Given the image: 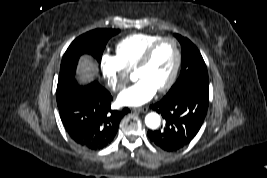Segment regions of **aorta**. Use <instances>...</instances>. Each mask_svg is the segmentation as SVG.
<instances>
[{
    "mask_svg": "<svg viewBox=\"0 0 267 178\" xmlns=\"http://www.w3.org/2000/svg\"><path fill=\"white\" fill-rule=\"evenodd\" d=\"M161 118L155 113H148L145 117V124L150 129H157L160 126Z\"/></svg>",
    "mask_w": 267,
    "mask_h": 178,
    "instance_id": "obj_1",
    "label": "aorta"
}]
</instances>
